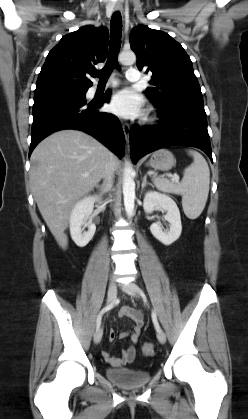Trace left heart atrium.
Returning a JSON list of instances; mask_svg holds the SVG:
<instances>
[{
  "instance_id": "left-heart-atrium-1",
  "label": "left heart atrium",
  "mask_w": 248,
  "mask_h": 419,
  "mask_svg": "<svg viewBox=\"0 0 248 419\" xmlns=\"http://www.w3.org/2000/svg\"><path fill=\"white\" fill-rule=\"evenodd\" d=\"M109 108L111 112L120 117H136L142 113L143 98L134 90L126 88L112 97Z\"/></svg>"
}]
</instances>
